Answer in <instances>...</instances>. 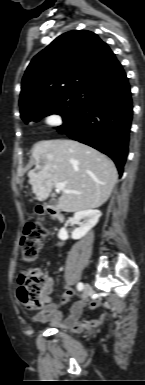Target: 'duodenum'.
<instances>
[{
	"mask_svg": "<svg viewBox=\"0 0 145 385\" xmlns=\"http://www.w3.org/2000/svg\"><path fill=\"white\" fill-rule=\"evenodd\" d=\"M39 212H40V213L45 212V213H47L50 217H52V218H54V219H57L58 221H63V217H62V215H61V212H60L57 208H55V207H53V206H51V205H45L43 208H41V209L39 210Z\"/></svg>",
	"mask_w": 145,
	"mask_h": 385,
	"instance_id": "duodenum-1",
	"label": "duodenum"
}]
</instances>
